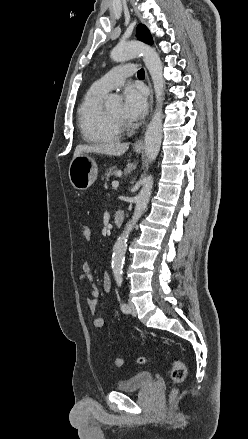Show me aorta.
<instances>
[{"label":"aorta","mask_w":248,"mask_h":439,"mask_svg":"<svg viewBox=\"0 0 248 439\" xmlns=\"http://www.w3.org/2000/svg\"><path fill=\"white\" fill-rule=\"evenodd\" d=\"M142 56L148 69L156 96L157 106L145 133V154L150 162H153L160 150L162 140V101L164 92L163 65L158 53L149 45L140 41H131L118 44L111 51V58L115 62H123ZM153 188V177L144 178L142 188L135 198V209L132 219L126 224L122 234L117 238L113 246L112 271L115 276L122 274L127 249V240L130 232L144 213L150 200Z\"/></svg>","instance_id":"aorta-1"}]
</instances>
